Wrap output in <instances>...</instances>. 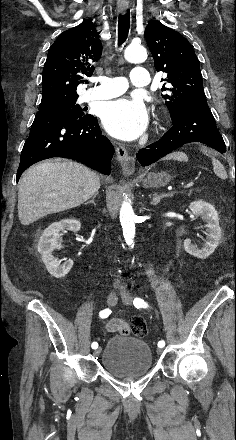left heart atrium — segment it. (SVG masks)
Masks as SVG:
<instances>
[{
    "mask_svg": "<svg viewBox=\"0 0 236 440\" xmlns=\"http://www.w3.org/2000/svg\"><path fill=\"white\" fill-rule=\"evenodd\" d=\"M102 123L113 137L133 140L145 130L147 111L140 100L121 98L105 106Z\"/></svg>",
    "mask_w": 236,
    "mask_h": 440,
    "instance_id": "obj_1",
    "label": "left heart atrium"
}]
</instances>
